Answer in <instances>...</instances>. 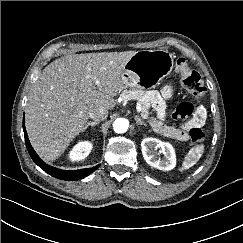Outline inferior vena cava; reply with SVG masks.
<instances>
[{"label":"inferior vena cava","instance_id":"1","mask_svg":"<svg viewBox=\"0 0 243 243\" xmlns=\"http://www.w3.org/2000/svg\"><path fill=\"white\" fill-rule=\"evenodd\" d=\"M89 117L94 121H103L108 117V110L104 107H97L89 111Z\"/></svg>","mask_w":243,"mask_h":243}]
</instances>
